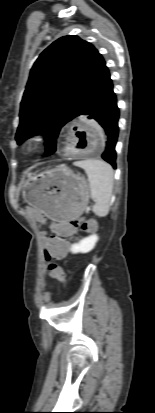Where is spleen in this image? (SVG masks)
Listing matches in <instances>:
<instances>
[{
    "label": "spleen",
    "mask_w": 155,
    "mask_h": 413,
    "mask_svg": "<svg viewBox=\"0 0 155 413\" xmlns=\"http://www.w3.org/2000/svg\"><path fill=\"white\" fill-rule=\"evenodd\" d=\"M74 165L84 169L88 176L91 198L95 202L92 211L99 217L107 216L114 183L112 167L98 159L77 161Z\"/></svg>",
    "instance_id": "1"
}]
</instances>
